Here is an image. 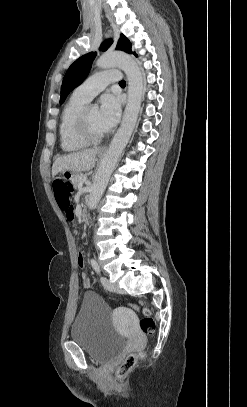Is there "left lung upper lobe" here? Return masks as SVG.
<instances>
[{"label": "left lung upper lobe", "instance_id": "obj_1", "mask_svg": "<svg viewBox=\"0 0 247 407\" xmlns=\"http://www.w3.org/2000/svg\"><path fill=\"white\" fill-rule=\"evenodd\" d=\"M112 40H105L101 46H100V50L102 51H106L112 44ZM131 43L130 41L122 34L116 49L117 50H121V51H125L127 53H132L135 56L136 53L132 52L131 50ZM96 56V53H88L86 55H83L82 57L78 58L67 70L64 78H63V82H62V86H61V98H60V104H62L66 97L68 96V94L74 89L76 88L78 85H80L85 78L87 77L89 70L91 69V65H92V61L94 60Z\"/></svg>", "mask_w": 247, "mask_h": 407}]
</instances>
